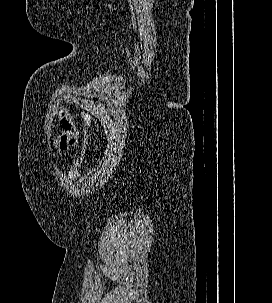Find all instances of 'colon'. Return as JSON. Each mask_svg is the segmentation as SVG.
Wrapping results in <instances>:
<instances>
[{
    "label": "colon",
    "instance_id": "1",
    "mask_svg": "<svg viewBox=\"0 0 272 303\" xmlns=\"http://www.w3.org/2000/svg\"><path fill=\"white\" fill-rule=\"evenodd\" d=\"M82 121H83V125H84V136L85 137H84L81 153L78 156V158L76 159V161L74 162L73 166L71 167V170H70V178L71 179H74L76 177V175H77L78 171L80 170L82 164L86 160L87 153H88V150H89L88 129L92 124L93 117L88 112H84L82 114Z\"/></svg>",
    "mask_w": 272,
    "mask_h": 303
}]
</instances>
